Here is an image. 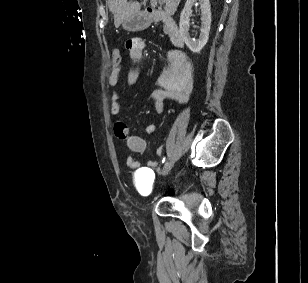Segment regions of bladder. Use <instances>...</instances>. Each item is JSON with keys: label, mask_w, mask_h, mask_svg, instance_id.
<instances>
[{"label": "bladder", "mask_w": 308, "mask_h": 283, "mask_svg": "<svg viewBox=\"0 0 308 283\" xmlns=\"http://www.w3.org/2000/svg\"><path fill=\"white\" fill-rule=\"evenodd\" d=\"M134 181L143 196L149 197L154 193L155 176L151 170L147 168L137 170L134 174Z\"/></svg>", "instance_id": "1"}]
</instances>
